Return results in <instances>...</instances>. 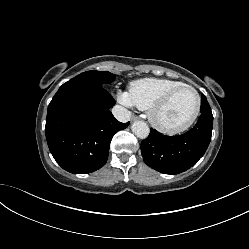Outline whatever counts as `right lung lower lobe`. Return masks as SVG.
<instances>
[{"mask_svg":"<svg viewBox=\"0 0 249 249\" xmlns=\"http://www.w3.org/2000/svg\"><path fill=\"white\" fill-rule=\"evenodd\" d=\"M113 97L83 79L64 83L48 106L45 134L56 162L75 174L91 173L107 161L114 134L128 123L117 121Z\"/></svg>","mask_w":249,"mask_h":249,"instance_id":"obj_1","label":"right lung lower lobe"}]
</instances>
